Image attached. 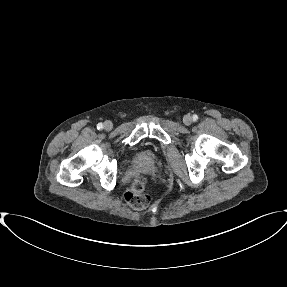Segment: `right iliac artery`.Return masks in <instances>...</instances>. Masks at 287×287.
<instances>
[{"label": "right iliac artery", "instance_id": "1", "mask_svg": "<svg viewBox=\"0 0 287 287\" xmlns=\"http://www.w3.org/2000/svg\"><path fill=\"white\" fill-rule=\"evenodd\" d=\"M97 129H98V130L103 129V124H102V123H98V124H97Z\"/></svg>", "mask_w": 287, "mask_h": 287}]
</instances>
